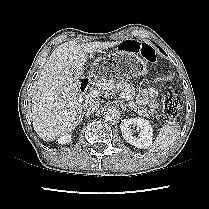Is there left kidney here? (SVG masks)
I'll return each mask as SVG.
<instances>
[{
  "label": "left kidney",
  "instance_id": "obj_1",
  "mask_svg": "<svg viewBox=\"0 0 209 209\" xmlns=\"http://www.w3.org/2000/svg\"><path fill=\"white\" fill-rule=\"evenodd\" d=\"M132 127H136L139 132L138 136L132 133ZM123 138L131 145L145 149L149 148L153 140V128L148 120L143 118L123 119L120 124Z\"/></svg>",
  "mask_w": 209,
  "mask_h": 209
}]
</instances>
